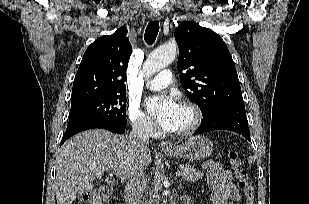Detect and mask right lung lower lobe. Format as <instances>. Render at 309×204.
I'll use <instances>...</instances> for the list:
<instances>
[{"label":"right lung lower lobe","mask_w":309,"mask_h":204,"mask_svg":"<svg viewBox=\"0 0 309 204\" xmlns=\"http://www.w3.org/2000/svg\"><path fill=\"white\" fill-rule=\"evenodd\" d=\"M93 128L106 129V130H109L111 132L118 133V134H122L125 131L124 126H119V125H116V124H113L107 121L98 120V119L82 120V121H78V122L68 125L60 146L71 136L81 131L93 129Z\"/></svg>","instance_id":"98d812e1"}]
</instances>
